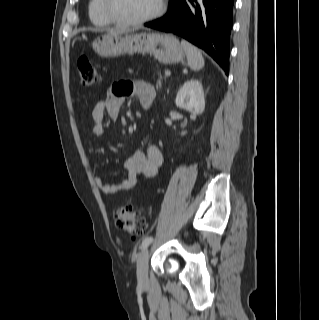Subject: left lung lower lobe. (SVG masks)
<instances>
[{
  "instance_id": "1",
  "label": "left lung lower lobe",
  "mask_w": 319,
  "mask_h": 320,
  "mask_svg": "<svg viewBox=\"0 0 319 320\" xmlns=\"http://www.w3.org/2000/svg\"><path fill=\"white\" fill-rule=\"evenodd\" d=\"M234 0H170L166 15L146 27L182 36L229 72V37Z\"/></svg>"
}]
</instances>
